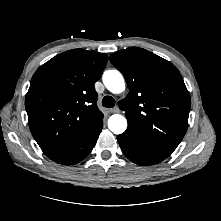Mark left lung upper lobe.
I'll use <instances>...</instances> for the list:
<instances>
[{
    "label": "left lung upper lobe",
    "mask_w": 221,
    "mask_h": 221,
    "mask_svg": "<svg viewBox=\"0 0 221 221\" xmlns=\"http://www.w3.org/2000/svg\"><path fill=\"white\" fill-rule=\"evenodd\" d=\"M124 75L129 94L118 104L128 127L149 145L173 152L182 141L190 111V96L178 69L139 47L110 56Z\"/></svg>",
    "instance_id": "left-lung-upper-lobe-1"
}]
</instances>
